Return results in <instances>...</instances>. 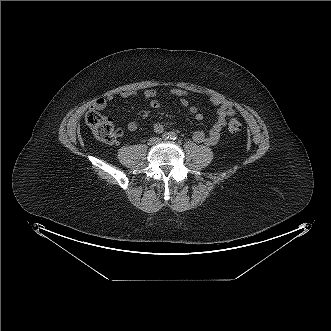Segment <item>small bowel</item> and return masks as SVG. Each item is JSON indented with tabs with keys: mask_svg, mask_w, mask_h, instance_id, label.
Wrapping results in <instances>:
<instances>
[{
	"mask_svg": "<svg viewBox=\"0 0 331 331\" xmlns=\"http://www.w3.org/2000/svg\"><path fill=\"white\" fill-rule=\"evenodd\" d=\"M138 91L135 89L132 90H126L120 93V97L126 99L135 97L138 95ZM169 94L171 96H175L180 99L183 106L187 107L189 112L192 114L193 118L196 121H202L204 116L199 111V109L196 106L190 105L187 96L188 92L180 89V88H173L169 91ZM158 92L155 89H146L142 93V97L144 100L149 102V105L157 109L160 106V103L157 99ZM114 99L113 95H108L106 99L99 98L94 101L92 104V109L94 110H102L105 108L107 101H112ZM209 102L216 106L217 109V118L214 122V124L211 126L208 133H205L203 131H196L193 133L192 138L196 143H203L208 146L216 145L220 139L221 131L225 128L227 119L231 116H234L236 114V109L231 101L228 99L212 95L209 97ZM167 123L163 121H157L153 124V129L156 133H161L163 130L167 127ZM139 123L137 120H131L127 124V129L131 132H134L138 129Z\"/></svg>",
	"mask_w": 331,
	"mask_h": 331,
	"instance_id": "1",
	"label": "small bowel"
}]
</instances>
